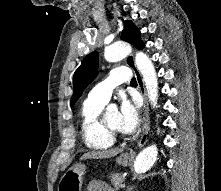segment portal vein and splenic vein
<instances>
[{
    "mask_svg": "<svg viewBox=\"0 0 221 191\" xmlns=\"http://www.w3.org/2000/svg\"><path fill=\"white\" fill-rule=\"evenodd\" d=\"M121 187H125V184H121Z\"/></svg>",
    "mask_w": 221,
    "mask_h": 191,
    "instance_id": "portal-vein-and-splenic-vein-1",
    "label": "portal vein and splenic vein"
}]
</instances>
